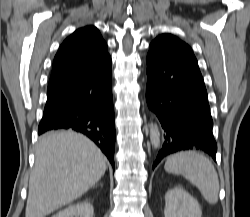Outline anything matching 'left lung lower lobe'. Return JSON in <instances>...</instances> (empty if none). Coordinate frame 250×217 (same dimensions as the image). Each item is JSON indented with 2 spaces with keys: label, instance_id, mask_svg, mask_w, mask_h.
I'll return each instance as SVG.
<instances>
[{
  "label": "left lung lower lobe",
  "instance_id": "1",
  "mask_svg": "<svg viewBox=\"0 0 250 217\" xmlns=\"http://www.w3.org/2000/svg\"><path fill=\"white\" fill-rule=\"evenodd\" d=\"M146 63L147 103L165 130V142L153 169L164 157L184 150H202L215 160L213 121L195 56L163 43H151Z\"/></svg>",
  "mask_w": 250,
  "mask_h": 217
}]
</instances>
